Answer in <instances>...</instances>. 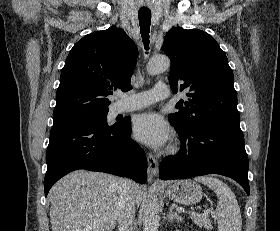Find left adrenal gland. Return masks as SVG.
<instances>
[{
    "instance_id": "left-adrenal-gland-1",
    "label": "left adrenal gland",
    "mask_w": 280,
    "mask_h": 231,
    "mask_svg": "<svg viewBox=\"0 0 280 231\" xmlns=\"http://www.w3.org/2000/svg\"><path fill=\"white\" fill-rule=\"evenodd\" d=\"M167 219L168 221H173V219H176V221H182L183 217H181V215H178L176 211H173V207H169V211L167 213Z\"/></svg>"
}]
</instances>
